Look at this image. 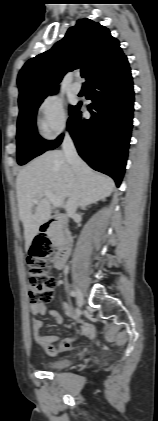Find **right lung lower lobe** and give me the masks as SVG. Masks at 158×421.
Returning a JSON list of instances; mask_svg holds the SVG:
<instances>
[{
	"label": "right lung lower lobe",
	"instance_id": "98d812e1",
	"mask_svg": "<svg viewBox=\"0 0 158 421\" xmlns=\"http://www.w3.org/2000/svg\"><path fill=\"white\" fill-rule=\"evenodd\" d=\"M87 84L88 99L92 100L88 106L91 118L83 117L79 103L70 113L67 130L79 155L119 186L127 160L134 103L131 71L124 53L107 62ZM62 138L60 135L51 141L47 150L58 147Z\"/></svg>",
	"mask_w": 158,
	"mask_h": 421
}]
</instances>
